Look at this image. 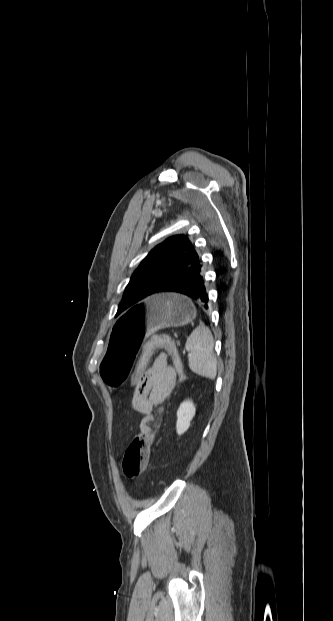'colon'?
Returning <instances> with one entry per match:
<instances>
[{"instance_id": "colon-1", "label": "colon", "mask_w": 333, "mask_h": 621, "mask_svg": "<svg viewBox=\"0 0 333 621\" xmlns=\"http://www.w3.org/2000/svg\"><path fill=\"white\" fill-rule=\"evenodd\" d=\"M159 348H164L169 352L180 381L185 379L182 361L174 342L166 336H155L144 345L136 364L132 375V387L134 390L147 370V365L152 354ZM155 435L156 428L150 434H140L136 436L127 447L122 461L123 473L127 478L134 479L145 471Z\"/></svg>"}]
</instances>
